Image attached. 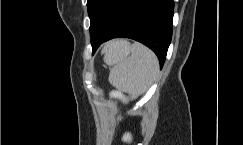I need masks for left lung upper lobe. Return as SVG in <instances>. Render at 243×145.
Segmentation results:
<instances>
[{
  "label": "left lung upper lobe",
  "instance_id": "1",
  "mask_svg": "<svg viewBox=\"0 0 243 145\" xmlns=\"http://www.w3.org/2000/svg\"><path fill=\"white\" fill-rule=\"evenodd\" d=\"M128 0H88V14L92 27L107 31Z\"/></svg>",
  "mask_w": 243,
  "mask_h": 145
}]
</instances>
